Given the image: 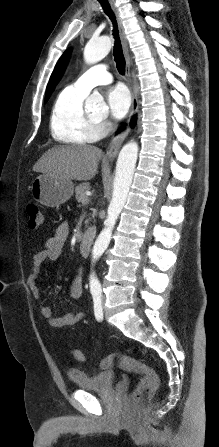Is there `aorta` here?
I'll list each match as a JSON object with an SVG mask.
<instances>
[{"instance_id": "obj_1", "label": "aorta", "mask_w": 219, "mask_h": 447, "mask_svg": "<svg viewBox=\"0 0 219 447\" xmlns=\"http://www.w3.org/2000/svg\"><path fill=\"white\" fill-rule=\"evenodd\" d=\"M111 47L112 40L109 36L90 39L84 49V59L87 63H96L102 60L110 52ZM91 105L104 106L100 99L92 100ZM138 150V144L131 141L122 147L118 155L112 199L108 206L107 217L104 222L105 227L99 234L92 250L94 259L99 258L110 243L113 228L126 203L128 192L132 184Z\"/></svg>"}]
</instances>
